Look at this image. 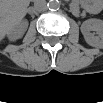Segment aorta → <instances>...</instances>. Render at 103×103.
I'll use <instances>...</instances> for the list:
<instances>
[{"mask_svg": "<svg viewBox=\"0 0 103 103\" xmlns=\"http://www.w3.org/2000/svg\"><path fill=\"white\" fill-rule=\"evenodd\" d=\"M60 2L58 0H49L47 6L50 10H58L60 8Z\"/></svg>", "mask_w": 103, "mask_h": 103, "instance_id": "aorta-1", "label": "aorta"}]
</instances>
